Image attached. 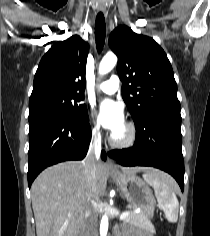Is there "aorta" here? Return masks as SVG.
Here are the masks:
<instances>
[{
  "instance_id": "1",
  "label": "aorta",
  "mask_w": 210,
  "mask_h": 236,
  "mask_svg": "<svg viewBox=\"0 0 210 236\" xmlns=\"http://www.w3.org/2000/svg\"><path fill=\"white\" fill-rule=\"evenodd\" d=\"M117 64V56L114 53H107L99 64L98 73L105 75L109 73ZM108 230V216L105 214L102 217L100 224L101 236H105Z\"/></svg>"
}]
</instances>
